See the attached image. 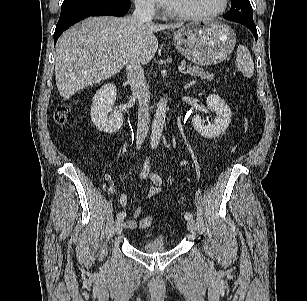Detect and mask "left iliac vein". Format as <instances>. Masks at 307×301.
I'll return each instance as SVG.
<instances>
[{"mask_svg": "<svg viewBox=\"0 0 307 301\" xmlns=\"http://www.w3.org/2000/svg\"><path fill=\"white\" fill-rule=\"evenodd\" d=\"M187 229H188L189 232L195 233L196 225H195V222L192 219L188 220V222H187Z\"/></svg>", "mask_w": 307, "mask_h": 301, "instance_id": "4c4485c4", "label": "left iliac vein"}]
</instances>
